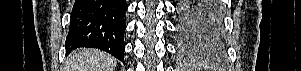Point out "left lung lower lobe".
<instances>
[{"label": "left lung lower lobe", "mask_w": 301, "mask_h": 71, "mask_svg": "<svg viewBox=\"0 0 301 71\" xmlns=\"http://www.w3.org/2000/svg\"><path fill=\"white\" fill-rule=\"evenodd\" d=\"M218 0H181L178 4L179 32L187 43L220 48L221 18Z\"/></svg>", "instance_id": "obj_1"}]
</instances>
